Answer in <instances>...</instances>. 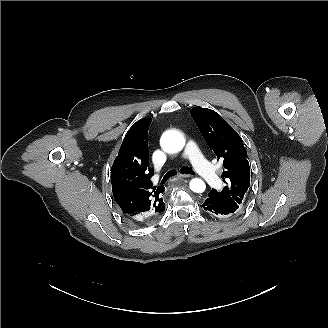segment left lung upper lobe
<instances>
[{
  "instance_id": "left-lung-upper-lobe-1",
  "label": "left lung upper lobe",
  "mask_w": 328,
  "mask_h": 328,
  "mask_svg": "<svg viewBox=\"0 0 328 328\" xmlns=\"http://www.w3.org/2000/svg\"><path fill=\"white\" fill-rule=\"evenodd\" d=\"M191 115L208 146L223 161L221 177L226 186L221 192L212 189L208 196L234 213L250 186V166L242 138L211 109L195 107Z\"/></svg>"
}]
</instances>
